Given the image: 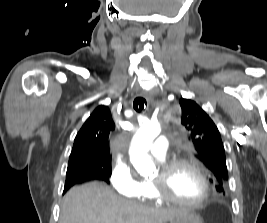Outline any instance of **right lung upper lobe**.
<instances>
[{"label":"right lung upper lobe","instance_id":"cb5924a9","mask_svg":"<svg viewBox=\"0 0 267 223\" xmlns=\"http://www.w3.org/2000/svg\"><path fill=\"white\" fill-rule=\"evenodd\" d=\"M114 129L108 107H97L76 135L69 164L86 161L94 165L90 171L107 174L111 164L108 137Z\"/></svg>","mask_w":267,"mask_h":223}]
</instances>
